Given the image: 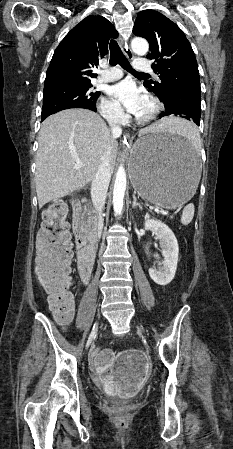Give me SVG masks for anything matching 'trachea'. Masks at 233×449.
Instances as JSON below:
<instances>
[{
	"instance_id": "1",
	"label": "trachea",
	"mask_w": 233,
	"mask_h": 449,
	"mask_svg": "<svg viewBox=\"0 0 233 449\" xmlns=\"http://www.w3.org/2000/svg\"><path fill=\"white\" fill-rule=\"evenodd\" d=\"M109 63L111 65L119 64L122 68H124L125 70H127L133 74L148 76V74L137 72L131 67L130 63L128 62L126 57L123 55L120 47L118 46V44L115 40L110 41V61H109Z\"/></svg>"
}]
</instances>
